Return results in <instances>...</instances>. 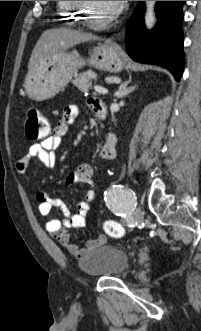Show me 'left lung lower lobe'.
Here are the masks:
<instances>
[{"instance_id":"left-lung-lower-lobe-1","label":"left lung lower lobe","mask_w":201,"mask_h":331,"mask_svg":"<svg viewBox=\"0 0 201 331\" xmlns=\"http://www.w3.org/2000/svg\"><path fill=\"white\" fill-rule=\"evenodd\" d=\"M185 1H157L156 27L147 31L144 25V2L131 15L125 35L129 56L140 63L157 64L171 71L177 81L183 72V20L182 6Z\"/></svg>"}]
</instances>
